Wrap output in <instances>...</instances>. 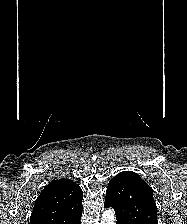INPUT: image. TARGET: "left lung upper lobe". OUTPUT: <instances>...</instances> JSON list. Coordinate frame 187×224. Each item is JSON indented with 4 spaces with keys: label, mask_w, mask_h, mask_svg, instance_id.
<instances>
[{
    "label": "left lung upper lobe",
    "mask_w": 187,
    "mask_h": 224,
    "mask_svg": "<svg viewBox=\"0 0 187 224\" xmlns=\"http://www.w3.org/2000/svg\"><path fill=\"white\" fill-rule=\"evenodd\" d=\"M106 200L126 224H158L152 188L132 171H123L108 184Z\"/></svg>",
    "instance_id": "obj_1"
}]
</instances>
